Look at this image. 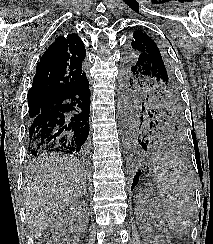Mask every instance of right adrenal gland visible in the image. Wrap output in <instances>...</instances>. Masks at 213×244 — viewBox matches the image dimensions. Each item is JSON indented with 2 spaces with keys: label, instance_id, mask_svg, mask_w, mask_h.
I'll return each mask as SVG.
<instances>
[{
  "label": "right adrenal gland",
  "instance_id": "1",
  "mask_svg": "<svg viewBox=\"0 0 213 244\" xmlns=\"http://www.w3.org/2000/svg\"><path fill=\"white\" fill-rule=\"evenodd\" d=\"M81 195H84L85 197H87V189H86V186L84 187L83 192H82Z\"/></svg>",
  "mask_w": 213,
  "mask_h": 244
}]
</instances>
